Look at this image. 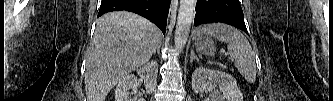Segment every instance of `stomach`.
<instances>
[{
    "mask_svg": "<svg viewBox=\"0 0 333 101\" xmlns=\"http://www.w3.org/2000/svg\"><path fill=\"white\" fill-rule=\"evenodd\" d=\"M196 50L199 54H205L207 56H214L215 54V42L212 36L204 35L195 39Z\"/></svg>",
    "mask_w": 333,
    "mask_h": 101,
    "instance_id": "stomach-1",
    "label": "stomach"
}]
</instances>
